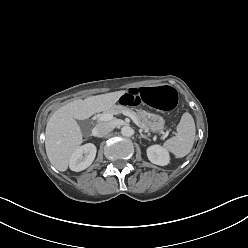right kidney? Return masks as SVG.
I'll return each instance as SVG.
<instances>
[{
  "instance_id": "right-kidney-1",
  "label": "right kidney",
  "mask_w": 248,
  "mask_h": 248,
  "mask_svg": "<svg viewBox=\"0 0 248 248\" xmlns=\"http://www.w3.org/2000/svg\"><path fill=\"white\" fill-rule=\"evenodd\" d=\"M96 146L92 143L77 148L70 157L69 167L72 171L79 172L88 168L96 156Z\"/></svg>"
}]
</instances>
